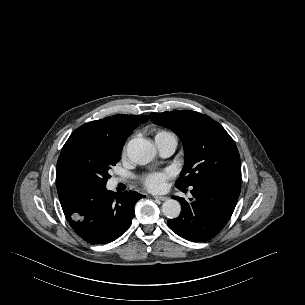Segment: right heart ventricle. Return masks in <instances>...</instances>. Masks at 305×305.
Segmentation results:
<instances>
[{
    "instance_id": "e07e8e85",
    "label": "right heart ventricle",
    "mask_w": 305,
    "mask_h": 305,
    "mask_svg": "<svg viewBox=\"0 0 305 305\" xmlns=\"http://www.w3.org/2000/svg\"><path fill=\"white\" fill-rule=\"evenodd\" d=\"M168 135H173V134H171L170 132H167L165 130H160L156 133L155 138L168 136Z\"/></svg>"
}]
</instances>
